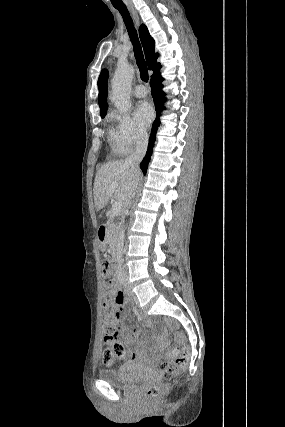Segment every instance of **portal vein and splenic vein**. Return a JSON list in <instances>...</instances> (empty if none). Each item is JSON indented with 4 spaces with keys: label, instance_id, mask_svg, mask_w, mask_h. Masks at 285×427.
Listing matches in <instances>:
<instances>
[{
    "label": "portal vein and splenic vein",
    "instance_id": "obj_1",
    "mask_svg": "<svg viewBox=\"0 0 285 427\" xmlns=\"http://www.w3.org/2000/svg\"><path fill=\"white\" fill-rule=\"evenodd\" d=\"M117 188V184H112L110 187V191L114 192L115 189ZM122 208V202L121 201H116L113 206H112V215H117L120 213Z\"/></svg>",
    "mask_w": 285,
    "mask_h": 427
}]
</instances>
